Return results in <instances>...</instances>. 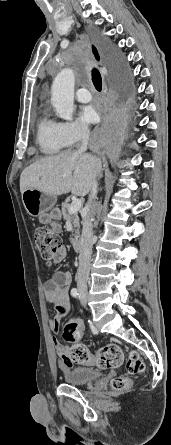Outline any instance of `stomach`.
I'll return each instance as SVG.
<instances>
[{
	"instance_id": "obj_1",
	"label": "stomach",
	"mask_w": 171,
	"mask_h": 445,
	"mask_svg": "<svg viewBox=\"0 0 171 445\" xmlns=\"http://www.w3.org/2000/svg\"><path fill=\"white\" fill-rule=\"evenodd\" d=\"M23 205L30 216L37 217L51 211L50 217L58 220V209H53L57 198L37 189L29 188L22 193Z\"/></svg>"
}]
</instances>
